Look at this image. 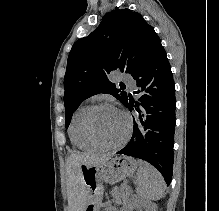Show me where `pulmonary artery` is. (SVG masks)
<instances>
[{"mask_svg": "<svg viewBox=\"0 0 219 211\" xmlns=\"http://www.w3.org/2000/svg\"><path fill=\"white\" fill-rule=\"evenodd\" d=\"M121 78H122V80H127V78H128V77H127V75H122V77H121ZM129 86H130V87H132V85H131V84H129Z\"/></svg>", "mask_w": 219, "mask_h": 211, "instance_id": "pulmonary-artery-1", "label": "pulmonary artery"}]
</instances>
